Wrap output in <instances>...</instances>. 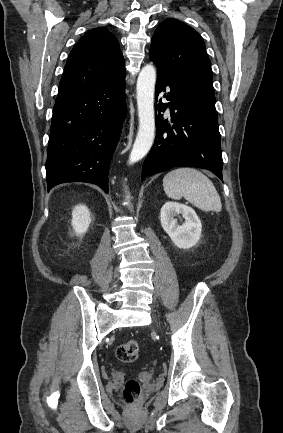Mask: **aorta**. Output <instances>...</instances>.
<instances>
[{
    "instance_id": "obj_1",
    "label": "aorta",
    "mask_w": 283,
    "mask_h": 433,
    "mask_svg": "<svg viewBox=\"0 0 283 433\" xmlns=\"http://www.w3.org/2000/svg\"><path fill=\"white\" fill-rule=\"evenodd\" d=\"M156 70L153 65L142 68L137 79L136 97L139 127L129 156V163L141 160L151 149L155 138L154 92Z\"/></svg>"
}]
</instances>
